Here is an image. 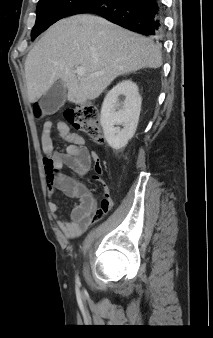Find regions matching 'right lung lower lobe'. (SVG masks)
Returning a JSON list of instances; mask_svg holds the SVG:
<instances>
[{
	"instance_id": "98d812e1",
	"label": "right lung lower lobe",
	"mask_w": 213,
	"mask_h": 338,
	"mask_svg": "<svg viewBox=\"0 0 213 338\" xmlns=\"http://www.w3.org/2000/svg\"><path fill=\"white\" fill-rule=\"evenodd\" d=\"M94 13L140 34L158 39L163 32L161 0H92L73 14Z\"/></svg>"
}]
</instances>
